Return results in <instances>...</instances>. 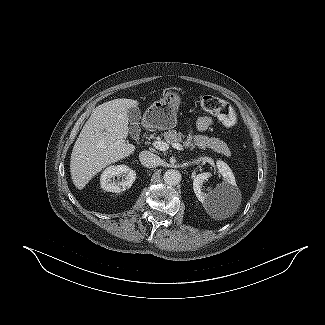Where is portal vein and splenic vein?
<instances>
[{"instance_id": "1", "label": "portal vein and splenic vein", "mask_w": 325, "mask_h": 325, "mask_svg": "<svg viewBox=\"0 0 325 325\" xmlns=\"http://www.w3.org/2000/svg\"><path fill=\"white\" fill-rule=\"evenodd\" d=\"M153 146L160 151H166L169 149V144L164 141H154ZM172 147L180 151L183 150V146L179 143H172Z\"/></svg>"}]
</instances>
